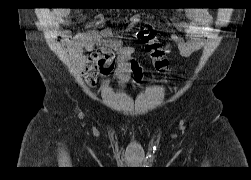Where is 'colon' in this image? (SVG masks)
<instances>
[{
  "label": "colon",
  "instance_id": "colon-1",
  "mask_svg": "<svg viewBox=\"0 0 251 180\" xmlns=\"http://www.w3.org/2000/svg\"><path fill=\"white\" fill-rule=\"evenodd\" d=\"M138 39L145 46L146 51L150 54L157 70H164L167 67L165 52L161 42L149 31L140 30L137 32Z\"/></svg>",
  "mask_w": 251,
  "mask_h": 180
}]
</instances>
